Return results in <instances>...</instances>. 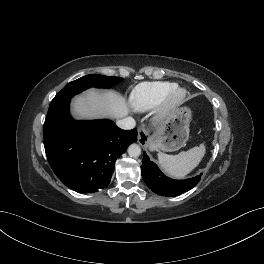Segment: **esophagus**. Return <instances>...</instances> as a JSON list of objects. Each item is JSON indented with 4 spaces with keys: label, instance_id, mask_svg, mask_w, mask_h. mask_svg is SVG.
<instances>
[{
    "label": "esophagus",
    "instance_id": "obj_1",
    "mask_svg": "<svg viewBox=\"0 0 264 264\" xmlns=\"http://www.w3.org/2000/svg\"><path fill=\"white\" fill-rule=\"evenodd\" d=\"M138 143L141 146H146L149 142L148 133L143 127L138 128Z\"/></svg>",
    "mask_w": 264,
    "mask_h": 264
}]
</instances>
